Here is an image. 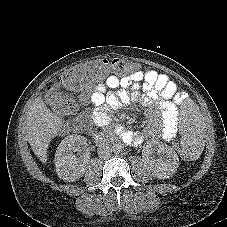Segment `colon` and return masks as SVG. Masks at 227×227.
I'll return each mask as SVG.
<instances>
[{
	"instance_id": "colon-1",
	"label": "colon",
	"mask_w": 227,
	"mask_h": 227,
	"mask_svg": "<svg viewBox=\"0 0 227 227\" xmlns=\"http://www.w3.org/2000/svg\"><path fill=\"white\" fill-rule=\"evenodd\" d=\"M139 69L140 66L135 61L125 64L120 60H111L109 58L92 61L83 66H77L64 73L58 82L47 88L45 101L58 113L75 115L78 111L77 103L73 99L63 95L60 92L61 88L77 91L83 89L87 82L93 84L96 81L102 80L105 75L115 76L125 72L127 75L132 76L137 73ZM84 123L85 117L80 116L75 119V125L79 129L84 128ZM171 146L179 159L188 162L196 161V156L187 154L182 150L179 141H172Z\"/></svg>"
}]
</instances>
